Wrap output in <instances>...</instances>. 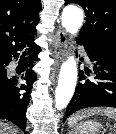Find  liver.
<instances>
[{
	"mask_svg": "<svg viewBox=\"0 0 116 134\" xmlns=\"http://www.w3.org/2000/svg\"><path fill=\"white\" fill-rule=\"evenodd\" d=\"M0 134H18V131L9 124L0 121Z\"/></svg>",
	"mask_w": 116,
	"mask_h": 134,
	"instance_id": "6515ba94",
	"label": "liver"
}]
</instances>
